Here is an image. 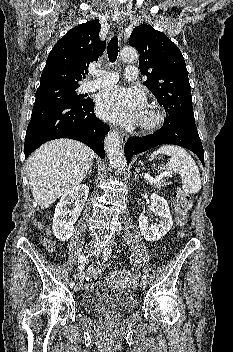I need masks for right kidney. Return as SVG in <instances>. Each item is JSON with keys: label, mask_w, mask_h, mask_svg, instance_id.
Returning a JSON list of instances; mask_svg holds the SVG:
<instances>
[{"label": "right kidney", "mask_w": 233, "mask_h": 352, "mask_svg": "<svg viewBox=\"0 0 233 352\" xmlns=\"http://www.w3.org/2000/svg\"><path fill=\"white\" fill-rule=\"evenodd\" d=\"M89 188L82 184L74 187L66 192L56 205L53 218V233L61 241H66L71 238L74 233V224L77 221L85 202L88 198ZM75 208L68 209V205L74 201Z\"/></svg>", "instance_id": "1"}]
</instances>
